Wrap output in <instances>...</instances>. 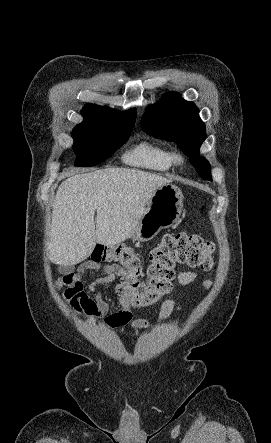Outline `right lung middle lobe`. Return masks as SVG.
Masks as SVG:
<instances>
[{
    "label": "right lung middle lobe",
    "mask_w": 271,
    "mask_h": 443,
    "mask_svg": "<svg viewBox=\"0 0 271 443\" xmlns=\"http://www.w3.org/2000/svg\"><path fill=\"white\" fill-rule=\"evenodd\" d=\"M135 120L92 118L72 131L75 166H95L110 157L129 138Z\"/></svg>",
    "instance_id": "obj_1"
}]
</instances>
